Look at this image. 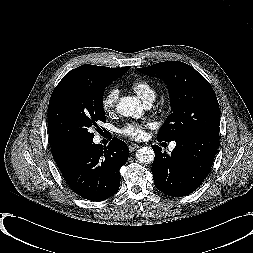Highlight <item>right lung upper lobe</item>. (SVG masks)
Returning a JSON list of instances; mask_svg holds the SVG:
<instances>
[{
    "label": "right lung upper lobe",
    "instance_id": "right-lung-upper-lobe-1",
    "mask_svg": "<svg viewBox=\"0 0 253 253\" xmlns=\"http://www.w3.org/2000/svg\"><path fill=\"white\" fill-rule=\"evenodd\" d=\"M127 68L128 67L109 68V67H102V66H95V65H82L69 71L63 77V79L59 82V84H62L68 78H71L79 74H89L93 76L103 75L109 72H126ZM49 140H50L51 152H52L53 158L60 169L66 165L69 159L74 155L77 148H70V147L60 144L53 138V136L50 133H49Z\"/></svg>",
    "mask_w": 253,
    "mask_h": 253
}]
</instances>
